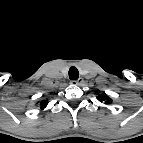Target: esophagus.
<instances>
[{
	"instance_id": "obj_1",
	"label": "esophagus",
	"mask_w": 143,
	"mask_h": 143,
	"mask_svg": "<svg viewBox=\"0 0 143 143\" xmlns=\"http://www.w3.org/2000/svg\"><path fill=\"white\" fill-rule=\"evenodd\" d=\"M83 82H84V79H83V78H79L78 80L72 81V83H73V84H76V85H81Z\"/></svg>"
}]
</instances>
